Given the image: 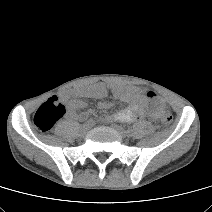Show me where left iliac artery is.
Instances as JSON below:
<instances>
[{
	"instance_id": "44dca946",
	"label": "left iliac artery",
	"mask_w": 212,
	"mask_h": 212,
	"mask_svg": "<svg viewBox=\"0 0 212 212\" xmlns=\"http://www.w3.org/2000/svg\"><path fill=\"white\" fill-rule=\"evenodd\" d=\"M128 132H131V129H128Z\"/></svg>"
}]
</instances>
